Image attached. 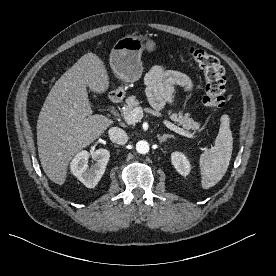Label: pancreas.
Listing matches in <instances>:
<instances>
[{
    "label": "pancreas",
    "instance_id": "pancreas-1",
    "mask_svg": "<svg viewBox=\"0 0 276 276\" xmlns=\"http://www.w3.org/2000/svg\"><path fill=\"white\" fill-rule=\"evenodd\" d=\"M126 104L122 113L124 116L130 114V112L140 105V101L137 99L135 95L129 96L126 99ZM167 115L169 118L175 123L183 126L186 130H198L200 124L195 122L192 118H190L189 114H183L181 111L174 112L173 110H168Z\"/></svg>",
    "mask_w": 276,
    "mask_h": 276
}]
</instances>
